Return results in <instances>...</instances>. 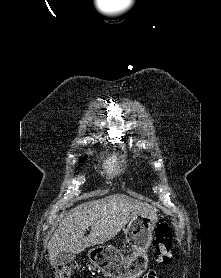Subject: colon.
I'll return each mask as SVG.
<instances>
[{
  "mask_svg": "<svg viewBox=\"0 0 221 278\" xmlns=\"http://www.w3.org/2000/svg\"><path fill=\"white\" fill-rule=\"evenodd\" d=\"M152 244L157 261L163 265L170 264L173 260L172 232L163 219L155 226ZM76 270L77 267L73 264L59 265L54 269V278H72Z\"/></svg>",
  "mask_w": 221,
  "mask_h": 278,
  "instance_id": "colon-1",
  "label": "colon"
}]
</instances>
